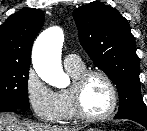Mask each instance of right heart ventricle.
<instances>
[{"label":"right heart ventricle","instance_id":"1","mask_svg":"<svg viewBox=\"0 0 147 131\" xmlns=\"http://www.w3.org/2000/svg\"><path fill=\"white\" fill-rule=\"evenodd\" d=\"M67 72L71 75L72 78H75L81 72L85 70V67L82 65L78 68H66ZM60 101L62 103V116L60 120H70L74 118L75 113L72 106L71 97L69 94V89H61L57 92Z\"/></svg>","mask_w":147,"mask_h":131}]
</instances>
